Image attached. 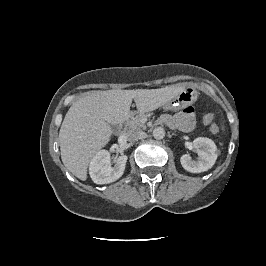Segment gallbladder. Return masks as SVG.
<instances>
[{
    "mask_svg": "<svg viewBox=\"0 0 266 266\" xmlns=\"http://www.w3.org/2000/svg\"><path fill=\"white\" fill-rule=\"evenodd\" d=\"M111 128H112L113 130H117V126H116V125H112Z\"/></svg>",
    "mask_w": 266,
    "mask_h": 266,
    "instance_id": "gallbladder-1",
    "label": "gallbladder"
}]
</instances>
